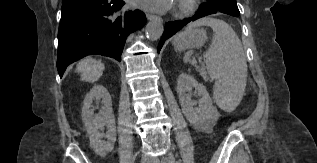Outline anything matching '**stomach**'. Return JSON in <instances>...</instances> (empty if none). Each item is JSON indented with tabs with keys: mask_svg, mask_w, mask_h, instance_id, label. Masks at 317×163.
<instances>
[{
	"mask_svg": "<svg viewBox=\"0 0 317 163\" xmlns=\"http://www.w3.org/2000/svg\"><path fill=\"white\" fill-rule=\"evenodd\" d=\"M207 40V34L202 29H188L178 34L173 41L176 50L198 48Z\"/></svg>",
	"mask_w": 317,
	"mask_h": 163,
	"instance_id": "stomach-1",
	"label": "stomach"
}]
</instances>
